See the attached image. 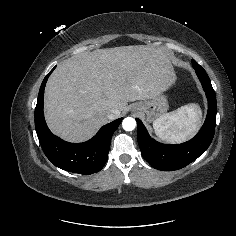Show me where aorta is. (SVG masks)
Returning <instances> with one entry per match:
<instances>
[{"label": "aorta", "mask_w": 236, "mask_h": 236, "mask_svg": "<svg viewBox=\"0 0 236 236\" xmlns=\"http://www.w3.org/2000/svg\"><path fill=\"white\" fill-rule=\"evenodd\" d=\"M122 127L126 131H132L136 127V121L132 117H127L122 122Z\"/></svg>", "instance_id": "1"}]
</instances>
